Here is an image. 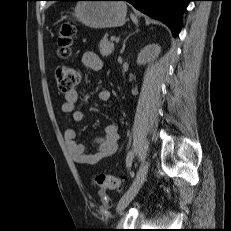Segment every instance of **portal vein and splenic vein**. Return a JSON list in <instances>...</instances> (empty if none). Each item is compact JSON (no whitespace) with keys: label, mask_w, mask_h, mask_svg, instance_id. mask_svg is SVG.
<instances>
[{"label":"portal vein and splenic vein","mask_w":231,"mask_h":231,"mask_svg":"<svg viewBox=\"0 0 231 231\" xmlns=\"http://www.w3.org/2000/svg\"><path fill=\"white\" fill-rule=\"evenodd\" d=\"M111 41H116V42H117V41H118V37L112 36V37H111Z\"/></svg>","instance_id":"obj_1"}]
</instances>
